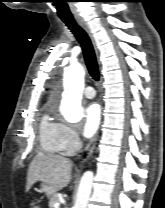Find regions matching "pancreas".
<instances>
[{"label":"pancreas","instance_id":"cf45deb5","mask_svg":"<svg viewBox=\"0 0 165 208\" xmlns=\"http://www.w3.org/2000/svg\"><path fill=\"white\" fill-rule=\"evenodd\" d=\"M59 202V195L55 193L49 201V207L54 208V205Z\"/></svg>","mask_w":165,"mask_h":208}]
</instances>
